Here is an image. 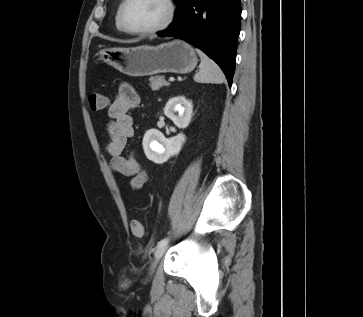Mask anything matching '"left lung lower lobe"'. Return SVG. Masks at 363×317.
I'll return each mask as SVG.
<instances>
[{
    "mask_svg": "<svg viewBox=\"0 0 363 317\" xmlns=\"http://www.w3.org/2000/svg\"><path fill=\"white\" fill-rule=\"evenodd\" d=\"M175 1L173 22L157 35L179 37L203 50L221 67L231 86L240 31V0Z\"/></svg>",
    "mask_w": 363,
    "mask_h": 317,
    "instance_id": "0a47b994",
    "label": "left lung lower lobe"
}]
</instances>
